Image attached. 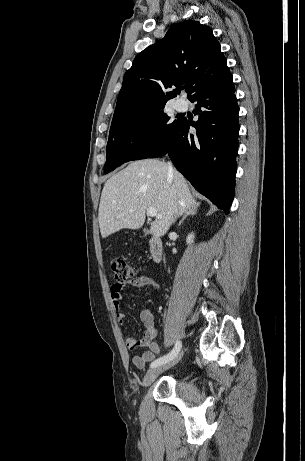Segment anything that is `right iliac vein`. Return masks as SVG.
<instances>
[{"label":"right iliac vein","instance_id":"1","mask_svg":"<svg viewBox=\"0 0 305 461\" xmlns=\"http://www.w3.org/2000/svg\"><path fill=\"white\" fill-rule=\"evenodd\" d=\"M181 356H182V353L179 356H177L173 361H171V362H169L167 364H164V365H160L158 367H155V368H152L151 370H149L146 373V375H145V377L143 379L142 385L144 387L149 386L151 383H153V381L157 378V376L160 373H162L164 370H166V369L172 367L173 365H175L179 361Z\"/></svg>","mask_w":305,"mask_h":461}]
</instances>
